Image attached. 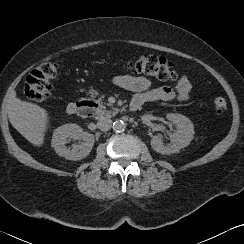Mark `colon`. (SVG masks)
<instances>
[{
	"label": "colon",
	"mask_w": 244,
	"mask_h": 244,
	"mask_svg": "<svg viewBox=\"0 0 244 244\" xmlns=\"http://www.w3.org/2000/svg\"><path fill=\"white\" fill-rule=\"evenodd\" d=\"M124 68L134 72L153 76L163 81H176L179 78L177 71L163 57L143 56L124 64ZM58 67L52 62H45L29 72L24 82V93L33 101H43L52 91L51 81L55 78ZM217 114H223L228 109L225 98L217 97L214 100Z\"/></svg>",
	"instance_id": "obj_1"
}]
</instances>
